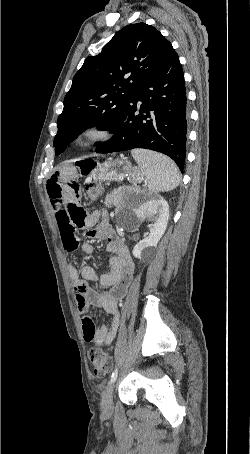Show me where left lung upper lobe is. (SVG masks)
<instances>
[{
  "label": "left lung upper lobe",
  "instance_id": "left-lung-upper-lobe-1",
  "mask_svg": "<svg viewBox=\"0 0 250 454\" xmlns=\"http://www.w3.org/2000/svg\"><path fill=\"white\" fill-rule=\"evenodd\" d=\"M173 51L155 27L136 23L117 32L101 53L87 57L64 98L55 155L89 127L112 132L141 84Z\"/></svg>",
  "mask_w": 250,
  "mask_h": 454
}]
</instances>
